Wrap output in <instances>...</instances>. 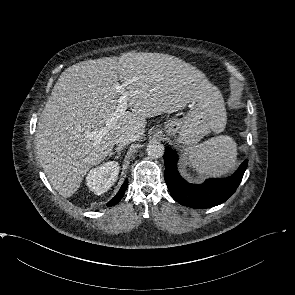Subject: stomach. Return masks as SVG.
<instances>
[{"label": "stomach", "mask_w": 295, "mask_h": 295, "mask_svg": "<svg viewBox=\"0 0 295 295\" xmlns=\"http://www.w3.org/2000/svg\"><path fill=\"white\" fill-rule=\"evenodd\" d=\"M226 125V109L221 92L210 84L189 104V111L181 119L168 120L166 134L184 147L196 145L210 132L219 133Z\"/></svg>", "instance_id": "1"}]
</instances>
